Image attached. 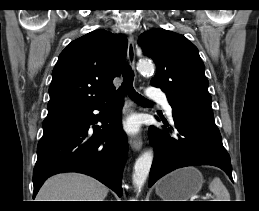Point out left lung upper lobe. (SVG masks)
<instances>
[{"instance_id":"obj_1","label":"left lung upper lobe","mask_w":259,"mask_h":211,"mask_svg":"<svg viewBox=\"0 0 259 211\" xmlns=\"http://www.w3.org/2000/svg\"><path fill=\"white\" fill-rule=\"evenodd\" d=\"M138 42L157 66L151 85L166 93L173 110L213 117L209 82L196 46L162 28L142 33Z\"/></svg>"}]
</instances>
